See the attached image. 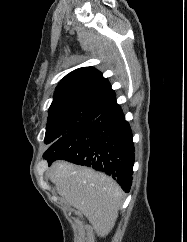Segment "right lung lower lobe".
Listing matches in <instances>:
<instances>
[{
  "mask_svg": "<svg viewBox=\"0 0 187 242\" xmlns=\"http://www.w3.org/2000/svg\"><path fill=\"white\" fill-rule=\"evenodd\" d=\"M49 165L56 159L90 166L112 176L125 192L132 184V132L115 102L96 119L68 132L44 153Z\"/></svg>",
  "mask_w": 187,
  "mask_h": 242,
  "instance_id": "98d812e1",
  "label": "right lung lower lobe"
}]
</instances>
